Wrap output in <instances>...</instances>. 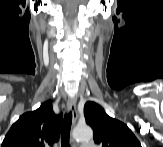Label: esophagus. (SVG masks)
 I'll return each mask as SVG.
<instances>
[{
    "instance_id": "34e87169",
    "label": "esophagus",
    "mask_w": 163,
    "mask_h": 147,
    "mask_svg": "<svg viewBox=\"0 0 163 147\" xmlns=\"http://www.w3.org/2000/svg\"><path fill=\"white\" fill-rule=\"evenodd\" d=\"M76 101H77V98L75 96H72L68 99V102H67V109L68 111L72 113L73 125H75L76 120H77Z\"/></svg>"
}]
</instances>
